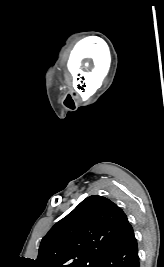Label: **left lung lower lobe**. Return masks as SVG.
<instances>
[{"instance_id": "0a47b994", "label": "left lung lower lobe", "mask_w": 164, "mask_h": 267, "mask_svg": "<svg viewBox=\"0 0 164 267\" xmlns=\"http://www.w3.org/2000/svg\"><path fill=\"white\" fill-rule=\"evenodd\" d=\"M98 267H139L137 241L129 223L110 246Z\"/></svg>"}]
</instances>
